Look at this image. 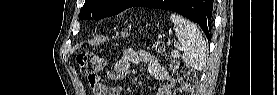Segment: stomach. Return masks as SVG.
I'll return each instance as SVG.
<instances>
[{
	"instance_id": "stomach-1",
	"label": "stomach",
	"mask_w": 277,
	"mask_h": 95,
	"mask_svg": "<svg viewBox=\"0 0 277 95\" xmlns=\"http://www.w3.org/2000/svg\"><path fill=\"white\" fill-rule=\"evenodd\" d=\"M128 35V33H122V36L124 37V36H127Z\"/></svg>"
}]
</instances>
